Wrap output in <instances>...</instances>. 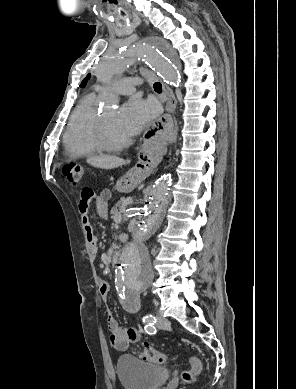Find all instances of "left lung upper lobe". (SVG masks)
I'll return each instance as SVG.
<instances>
[{"label":"left lung upper lobe","instance_id":"1","mask_svg":"<svg viewBox=\"0 0 296 389\" xmlns=\"http://www.w3.org/2000/svg\"><path fill=\"white\" fill-rule=\"evenodd\" d=\"M89 77H90V74H88L87 77L82 81V83H81L82 87L85 86V84H86L87 80L89 79Z\"/></svg>","mask_w":296,"mask_h":389}]
</instances>
